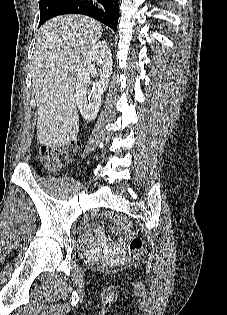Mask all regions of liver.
I'll use <instances>...</instances> for the list:
<instances>
[{
  "instance_id": "6515ba94",
  "label": "liver",
  "mask_w": 227,
  "mask_h": 315,
  "mask_svg": "<svg viewBox=\"0 0 227 315\" xmlns=\"http://www.w3.org/2000/svg\"><path fill=\"white\" fill-rule=\"evenodd\" d=\"M101 35V23L83 15L58 16L40 28L31 61L40 144L52 148L76 139V77L83 59Z\"/></svg>"
}]
</instances>
